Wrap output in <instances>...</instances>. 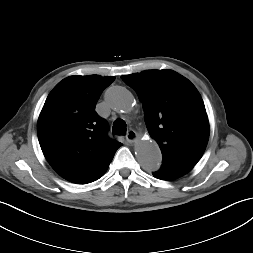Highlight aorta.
<instances>
[{"instance_id": "obj_1", "label": "aorta", "mask_w": 253, "mask_h": 253, "mask_svg": "<svg viewBox=\"0 0 253 253\" xmlns=\"http://www.w3.org/2000/svg\"><path fill=\"white\" fill-rule=\"evenodd\" d=\"M109 107L120 113H128L133 107V95L121 86L109 88L105 94ZM138 162L145 170H157L161 163V151L158 144L152 140L140 139L135 146Z\"/></svg>"}]
</instances>
